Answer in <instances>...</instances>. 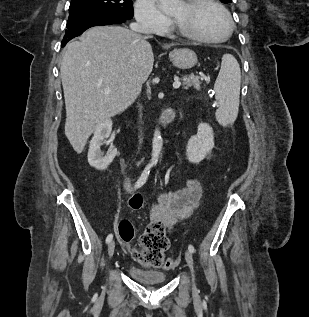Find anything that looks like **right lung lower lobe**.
<instances>
[{"instance_id": "right-lung-lower-lobe-1", "label": "right lung lower lobe", "mask_w": 309, "mask_h": 317, "mask_svg": "<svg viewBox=\"0 0 309 317\" xmlns=\"http://www.w3.org/2000/svg\"><path fill=\"white\" fill-rule=\"evenodd\" d=\"M125 21L126 19L121 17L95 12L70 14L66 26V35L62 40L61 47H64L69 40L76 36H79L90 27L120 24Z\"/></svg>"}]
</instances>
